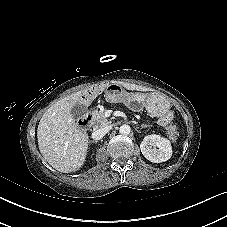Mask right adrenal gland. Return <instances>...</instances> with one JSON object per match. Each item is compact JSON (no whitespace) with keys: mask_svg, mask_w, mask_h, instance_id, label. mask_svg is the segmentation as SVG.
<instances>
[{"mask_svg":"<svg viewBox=\"0 0 227 227\" xmlns=\"http://www.w3.org/2000/svg\"><path fill=\"white\" fill-rule=\"evenodd\" d=\"M90 142H91V143H97L98 141H93V140H91Z\"/></svg>","mask_w":227,"mask_h":227,"instance_id":"2a0ac1e0","label":"right adrenal gland"}]
</instances>
